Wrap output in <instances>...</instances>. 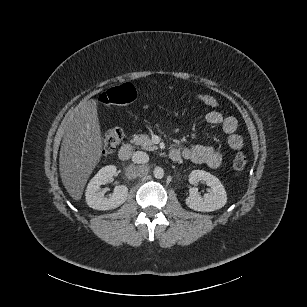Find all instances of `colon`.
<instances>
[{
  "instance_id": "obj_1",
  "label": "colon",
  "mask_w": 307,
  "mask_h": 307,
  "mask_svg": "<svg viewBox=\"0 0 307 307\" xmlns=\"http://www.w3.org/2000/svg\"><path fill=\"white\" fill-rule=\"evenodd\" d=\"M137 98V92L133 85L129 83L122 84L108 89L103 92L99 101L102 106L111 110L122 105L132 104ZM197 100L210 107H218V100L207 94H199ZM124 137V133L120 128H113L107 131L102 138V149L104 154H110L117 149ZM244 145H240L235 152L233 158V170L236 175H239L246 167L247 159L243 153Z\"/></svg>"
}]
</instances>
